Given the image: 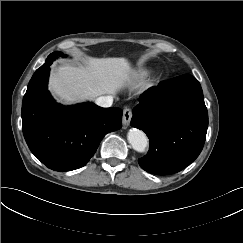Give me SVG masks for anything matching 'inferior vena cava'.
Masks as SVG:
<instances>
[{
    "instance_id": "obj_1",
    "label": "inferior vena cava",
    "mask_w": 243,
    "mask_h": 243,
    "mask_svg": "<svg viewBox=\"0 0 243 243\" xmlns=\"http://www.w3.org/2000/svg\"><path fill=\"white\" fill-rule=\"evenodd\" d=\"M95 103L100 107H111L113 103V97L112 96H100L96 98Z\"/></svg>"
}]
</instances>
